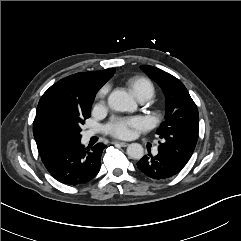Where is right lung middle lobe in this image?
<instances>
[{"instance_id":"obj_1","label":"right lung middle lobe","mask_w":241,"mask_h":241,"mask_svg":"<svg viewBox=\"0 0 241 241\" xmlns=\"http://www.w3.org/2000/svg\"><path fill=\"white\" fill-rule=\"evenodd\" d=\"M89 106L79 112L74 110H53L45 114L40 124V149L46 151L57 146L81 139L80 126L90 116Z\"/></svg>"}]
</instances>
